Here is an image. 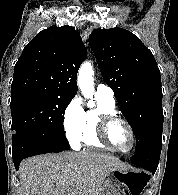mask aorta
<instances>
[{"mask_svg":"<svg viewBox=\"0 0 178 195\" xmlns=\"http://www.w3.org/2000/svg\"><path fill=\"white\" fill-rule=\"evenodd\" d=\"M94 71L90 62H84L78 72L77 83L78 87L81 90L83 96L88 101V107H94L95 103L93 102L94 95Z\"/></svg>","mask_w":178,"mask_h":195,"instance_id":"1","label":"aorta"}]
</instances>
